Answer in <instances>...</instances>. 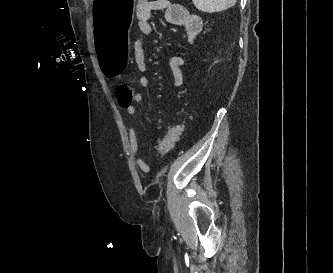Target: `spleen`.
<instances>
[{
	"mask_svg": "<svg viewBox=\"0 0 333 273\" xmlns=\"http://www.w3.org/2000/svg\"><path fill=\"white\" fill-rule=\"evenodd\" d=\"M195 7L207 13L226 10L235 5L237 0H192Z\"/></svg>",
	"mask_w": 333,
	"mask_h": 273,
	"instance_id": "obj_1",
	"label": "spleen"
}]
</instances>
